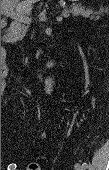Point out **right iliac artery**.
<instances>
[{
  "label": "right iliac artery",
  "mask_w": 109,
  "mask_h": 170,
  "mask_svg": "<svg viewBox=\"0 0 109 170\" xmlns=\"http://www.w3.org/2000/svg\"><path fill=\"white\" fill-rule=\"evenodd\" d=\"M16 167H17L16 164L12 163V164L8 165L7 170H15Z\"/></svg>",
  "instance_id": "82829eb1"
}]
</instances>
